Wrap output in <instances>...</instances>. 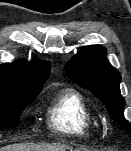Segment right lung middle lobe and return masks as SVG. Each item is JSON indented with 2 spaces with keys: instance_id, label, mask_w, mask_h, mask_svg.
I'll use <instances>...</instances> for the list:
<instances>
[{
  "instance_id": "right-lung-middle-lobe-1",
  "label": "right lung middle lobe",
  "mask_w": 131,
  "mask_h": 151,
  "mask_svg": "<svg viewBox=\"0 0 131 151\" xmlns=\"http://www.w3.org/2000/svg\"><path fill=\"white\" fill-rule=\"evenodd\" d=\"M41 89L0 87V129L17 126L25 106L37 97Z\"/></svg>"
}]
</instances>
